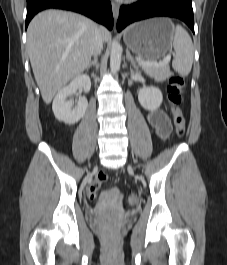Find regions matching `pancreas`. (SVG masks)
I'll list each match as a JSON object with an SVG mask.
<instances>
[{
    "instance_id": "obj_1",
    "label": "pancreas",
    "mask_w": 227,
    "mask_h": 265,
    "mask_svg": "<svg viewBox=\"0 0 227 265\" xmlns=\"http://www.w3.org/2000/svg\"><path fill=\"white\" fill-rule=\"evenodd\" d=\"M143 70L147 75L159 82L165 81L172 75L168 65L162 67H143Z\"/></svg>"
}]
</instances>
